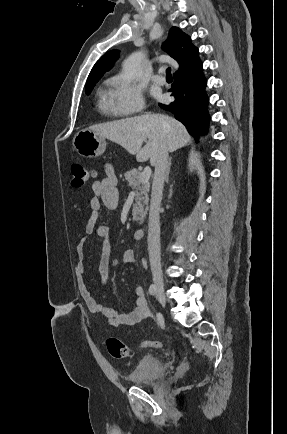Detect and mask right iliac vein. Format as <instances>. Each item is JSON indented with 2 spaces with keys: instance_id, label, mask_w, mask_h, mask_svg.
I'll use <instances>...</instances> for the list:
<instances>
[{
  "instance_id": "right-iliac-vein-1",
  "label": "right iliac vein",
  "mask_w": 287,
  "mask_h": 434,
  "mask_svg": "<svg viewBox=\"0 0 287 434\" xmlns=\"http://www.w3.org/2000/svg\"><path fill=\"white\" fill-rule=\"evenodd\" d=\"M155 295L159 301V303L162 305V307L166 306V297L164 293L163 284L159 281H155Z\"/></svg>"
}]
</instances>
